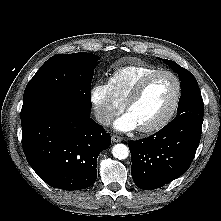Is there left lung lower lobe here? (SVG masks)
Masks as SVG:
<instances>
[{"mask_svg":"<svg viewBox=\"0 0 221 221\" xmlns=\"http://www.w3.org/2000/svg\"><path fill=\"white\" fill-rule=\"evenodd\" d=\"M203 117L190 114L173 119L152 136L129 141L134 183L141 189H157L189 168L200 143Z\"/></svg>","mask_w":221,"mask_h":221,"instance_id":"obj_1","label":"left lung lower lobe"}]
</instances>
